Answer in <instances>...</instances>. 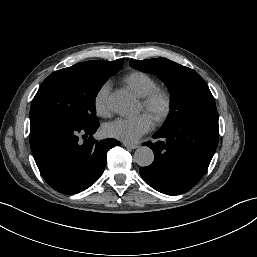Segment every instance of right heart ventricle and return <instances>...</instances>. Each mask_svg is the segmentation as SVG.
I'll return each instance as SVG.
<instances>
[{"label":"right heart ventricle","instance_id":"e07e8e85","mask_svg":"<svg viewBox=\"0 0 257 257\" xmlns=\"http://www.w3.org/2000/svg\"><path fill=\"white\" fill-rule=\"evenodd\" d=\"M125 82L139 97H144L157 88L155 80L143 72L128 75Z\"/></svg>","mask_w":257,"mask_h":257}]
</instances>
